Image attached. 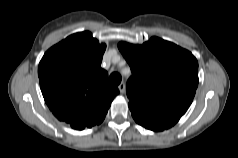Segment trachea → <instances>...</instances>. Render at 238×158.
I'll list each match as a JSON object with an SVG mask.
<instances>
[{
	"mask_svg": "<svg viewBox=\"0 0 238 158\" xmlns=\"http://www.w3.org/2000/svg\"><path fill=\"white\" fill-rule=\"evenodd\" d=\"M110 82L113 84V85H119L120 82H121V76L119 73H112L110 75Z\"/></svg>",
	"mask_w": 238,
	"mask_h": 158,
	"instance_id": "trachea-1",
	"label": "trachea"
}]
</instances>
